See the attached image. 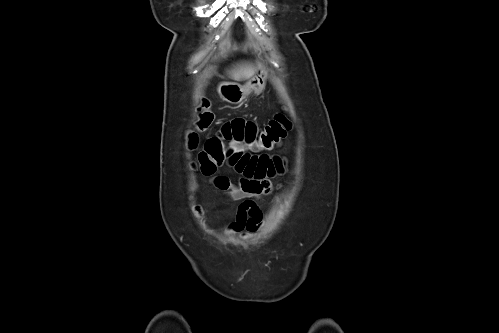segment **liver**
I'll use <instances>...</instances> for the list:
<instances>
[{
	"mask_svg": "<svg viewBox=\"0 0 499 333\" xmlns=\"http://www.w3.org/2000/svg\"><path fill=\"white\" fill-rule=\"evenodd\" d=\"M258 67H260V65ZM256 71L257 68L254 66L245 64L231 70L229 72V76L236 81L248 80L256 73Z\"/></svg>",
	"mask_w": 499,
	"mask_h": 333,
	"instance_id": "6515ba94",
	"label": "liver"
}]
</instances>
